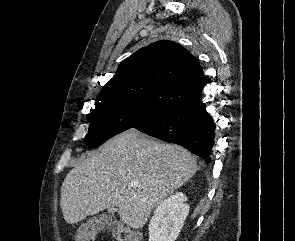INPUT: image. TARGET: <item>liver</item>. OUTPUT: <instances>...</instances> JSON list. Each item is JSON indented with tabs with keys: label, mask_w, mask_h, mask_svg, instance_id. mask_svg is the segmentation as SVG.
Here are the masks:
<instances>
[{
	"label": "liver",
	"mask_w": 295,
	"mask_h": 241,
	"mask_svg": "<svg viewBox=\"0 0 295 241\" xmlns=\"http://www.w3.org/2000/svg\"><path fill=\"white\" fill-rule=\"evenodd\" d=\"M197 170L195 157L181 146L135 130L122 133L67 174L61 187L63 217L74 224L116 206L122 222L140 229L152 209Z\"/></svg>",
	"instance_id": "obj_1"
}]
</instances>
